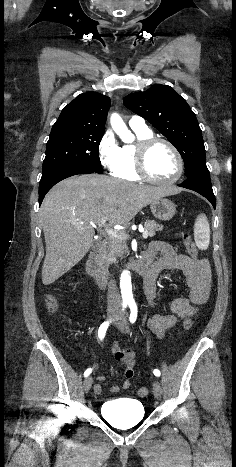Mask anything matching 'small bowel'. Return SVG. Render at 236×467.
I'll return each mask as SVG.
<instances>
[{
    "label": "small bowel",
    "instance_id": "small-bowel-1",
    "mask_svg": "<svg viewBox=\"0 0 236 467\" xmlns=\"http://www.w3.org/2000/svg\"><path fill=\"white\" fill-rule=\"evenodd\" d=\"M144 260L155 274L154 280L144 281V292L150 305L154 304L156 297L157 275L163 270L182 271L190 289L188 297L177 298L170 304V313L155 314L149 319V330L156 337L161 338L179 320L193 316L199 307L208 303L212 291L211 267L207 259H192L186 255L177 254L171 245L163 241H153L144 255ZM112 353L115 358L117 354H122V358L116 360L123 367L125 379L121 384L113 385L110 389L112 393H118L120 390H128L131 387L136 354L132 349H122L118 346L112 348ZM97 379L103 382L106 377L99 375ZM94 391L100 395L103 392V386L100 383L96 384Z\"/></svg>",
    "mask_w": 236,
    "mask_h": 467
}]
</instances>
